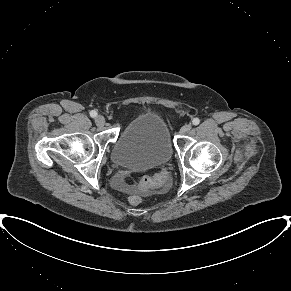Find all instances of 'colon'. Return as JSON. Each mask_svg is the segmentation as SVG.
Wrapping results in <instances>:
<instances>
[{
    "mask_svg": "<svg viewBox=\"0 0 291 291\" xmlns=\"http://www.w3.org/2000/svg\"><path fill=\"white\" fill-rule=\"evenodd\" d=\"M165 179L166 175L162 173L156 174L152 177H145L140 183V189L146 190L149 188L159 187L164 183ZM129 201L132 205H139L142 202V198L138 195H133L130 197Z\"/></svg>",
    "mask_w": 291,
    "mask_h": 291,
    "instance_id": "1",
    "label": "colon"
}]
</instances>
